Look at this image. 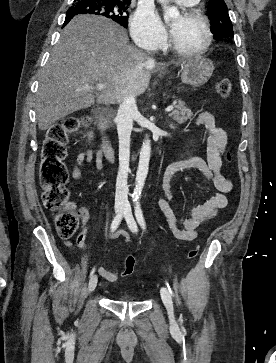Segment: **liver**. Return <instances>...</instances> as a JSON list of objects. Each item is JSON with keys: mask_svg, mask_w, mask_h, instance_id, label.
<instances>
[{"mask_svg": "<svg viewBox=\"0 0 276 363\" xmlns=\"http://www.w3.org/2000/svg\"><path fill=\"white\" fill-rule=\"evenodd\" d=\"M146 62V56L129 45L125 29L112 20L94 15L74 17L39 76V129L46 130L95 101L108 105L121 102L129 93L143 94L150 71L156 67ZM95 84L107 86L96 93L90 88Z\"/></svg>", "mask_w": 276, "mask_h": 363, "instance_id": "6515ba94", "label": "liver"}]
</instances>
